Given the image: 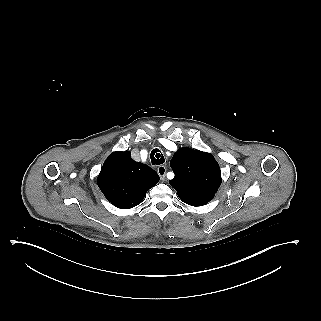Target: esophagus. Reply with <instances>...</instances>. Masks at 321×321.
<instances>
[{
    "mask_svg": "<svg viewBox=\"0 0 321 321\" xmlns=\"http://www.w3.org/2000/svg\"><path fill=\"white\" fill-rule=\"evenodd\" d=\"M158 175L160 176L162 181H165V175H166V167L161 165L157 169Z\"/></svg>",
    "mask_w": 321,
    "mask_h": 321,
    "instance_id": "esophagus-1",
    "label": "esophagus"
}]
</instances>
